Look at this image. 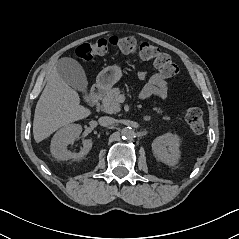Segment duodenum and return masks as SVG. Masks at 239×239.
<instances>
[{
	"label": "duodenum",
	"mask_w": 239,
	"mask_h": 239,
	"mask_svg": "<svg viewBox=\"0 0 239 239\" xmlns=\"http://www.w3.org/2000/svg\"><path fill=\"white\" fill-rule=\"evenodd\" d=\"M105 88L103 86H95L90 93L89 101L91 105H95L104 95Z\"/></svg>",
	"instance_id": "duodenum-1"
}]
</instances>
